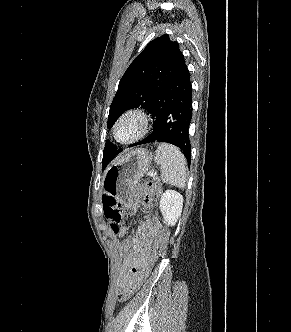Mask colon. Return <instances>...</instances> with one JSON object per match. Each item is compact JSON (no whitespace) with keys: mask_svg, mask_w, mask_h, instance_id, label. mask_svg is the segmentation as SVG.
<instances>
[{"mask_svg":"<svg viewBox=\"0 0 291 332\" xmlns=\"http://www.w3.org/2000/svg\"><path fill=\"white\" fill-rule=\"evenodd\" d=\"M159 193L160 188L152 182H146L140 186L141 201L145 206H150L152 204L153 197ZM103 213L105 218L110 222L111 229L115 234H126L127 231H125L123 226H121L122 214L119 210L117 201L113 195L107 192L103 194ZM167 241L168 231L166 228H163L153 254L149 257L147 262L136 271L132 282L123 290L121 296L123 301L129 299L135 292L140 289L153 265L157 260L164 256Z\"/></svg>","mask_w":291,"mask_h":332,"instance_id":"colon-1","label":"colon"}]
</instances>
